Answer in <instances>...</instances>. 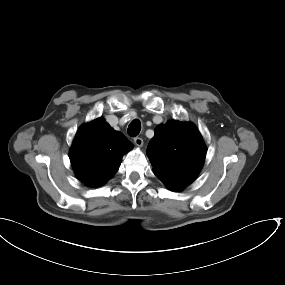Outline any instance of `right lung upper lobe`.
Returning a JSON list of instances; mask_svg holds the SVG:
<instances>
[{"mask_svg":"<svg viewBox=\"0 0 285 285\" xmlns=\"http://www.w3.org/2000/svg\"><path fill=\"white\" fill-rule=\"evenodd\" d=\"M132 148L121 132L98 118L78 130L69 157L77 178L90 187H99L113 177L122 157Z\"/></svg>","mask_w":285,"mask_h":285,"instance_id":"1","label":"right lung upper lobe"}]
</instances>
